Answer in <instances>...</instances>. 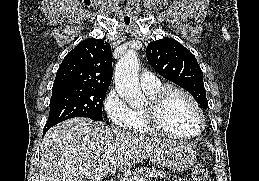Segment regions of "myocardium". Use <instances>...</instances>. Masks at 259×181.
Wrapping results in <instances>:
<instances>
[{
  "mask_svg": "<svg viewBox=\"0 0 259 181\" xmlns=\"http://www.w3.org/2000/svg\"><path fill=\"white\" fill-rule=\"evenodd\" d=\"M179 94L185 97L190 103L194 106L196 109L199 120H200V126L199 129L193 133V134H179L176 132H173L166 128L161 121V112L162 109L167 101V99L174 95ZM146 122L148 126L154 131L162 135H166L169 137L177 138V139H193L202 134L205 128V115L204 112L200 106V104L197 102V100L187 91L175 87V86H165L162 87L160 90H158L154 95L149 97V101L146 105V107L143 109Z\"/></svg>",
  "mask_w": 259,
  "mask_h": 181,
  "instance_id": "f54148a6",
  "label": "myocardium"
}]
</instances>
